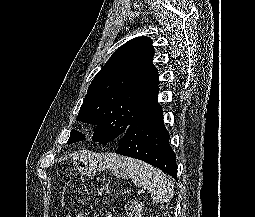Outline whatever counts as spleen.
Returning <instances> with one entry per match:
<instances>
[{
	"instance_id": "spleen-1",
	"label": "spleen",
	"mask_w": 255,
	"mask_h": 217,
	"mask_svg": "<svg viewBox=\"0 0 255 217\" xmlns=\"http://www.w3.org/2000/svg\"><path fill=\"white\" fill-rule=\"evenodd\" d=\"M108 160L115 175L130 177L136 186L147 189L153 202L162 204L173 198V182L161 170L132 158L111 155Z\"/></svg>"
}]
</instances>
